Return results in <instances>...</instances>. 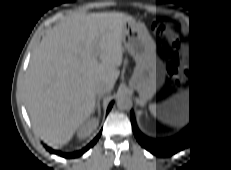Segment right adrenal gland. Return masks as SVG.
<instances>
[{
  "mask_svg": "<svg viewBox=\"0 0 231 170\" xmlns=\"http://www.w3.org/2000/svg\"><path fill=\"white\" fill-rule=\"evenodd\" d=\"M99 105H100V99H98V100H97V103H96V106L99 107Z\"/></svg>",
  "mask_w": 231,
  "mask_h": 170,
  "instance_id": "obj_1",
  "label": "right adrenal gland"
}]
</instances>
